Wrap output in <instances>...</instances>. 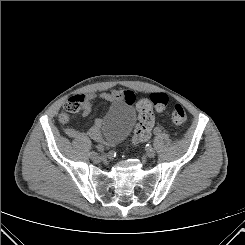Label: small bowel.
I'll list each match as a JSON object with an SVG mask.
<instances>
[{
    "label": "small bowel",
    "instance_id": "obj_1",
    "mask_svg": "<svg viewBox=\"0 0 245 245\" xmlns=\"http://www.w3.org/2000/svg\"><path fill=\"white\" fill-rule=\"evenodd\" d=\"M101 99L109 102L124 101L126 104L132 106L135 103V95L132 91L128 90H112L111 92H102L100 94L88 95L85 99L84 114L90 113L91 103L96 100ZM66 134L72 138H78L81 136H88L95 141H102L101 133V121L96 120L94 124L86 131H80L76 128L68 127L66 128Z\"/></svg>",
    "mask_w": 245,
    "mask_h": 245
}]
</instances>
